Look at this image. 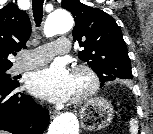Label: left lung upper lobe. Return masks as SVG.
I'll use <instances>...</instances> for the list:
<instances>
[{"mask_svg":"<svg viewBox=\"0 0 153 134\" xmlns=\"http://www.w3.org/2000/svg\"><path fill=\"white\" fill-rule=\"evenodd\" d=\"M62 7L74 16L73 39L84 48L78 56L96 72L101 86L119 79H132L126 43L115 20L78 0H63Z\"/></svg>","mask_w":153,"mask_h":134,"instance_id":"1","label":"left lung upper lobe"}]
</instances>
